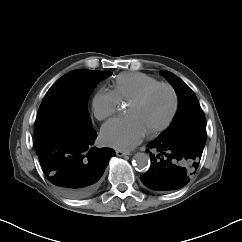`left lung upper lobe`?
Here are the masks:
<instances>
[{
    "instance_id": "5c2ea615",
    "label": "left lung upper lobe",
    "mask_w": 242,
    "mask_h": 242,
    "mask_svg": "<svg viewBox=\"0 0 242 242\" xmlns=\"http://www.w3.org/2000/svg\"><path fill=\"white\" fill-rule=\"evenodd\" d=\"M161 74L173 85L179 104L173 122L156 139L170 144L191 143L204 147L206 128L195 93L173 73L162 70Z\"/></svg>"
}]
</instances>
